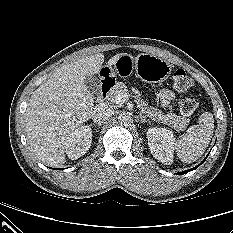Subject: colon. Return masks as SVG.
<instances>
[{
  "label": "colon",
  "instance_id": "colon-1",
  "mask_svg": "<svg viewBox=\"0 0 233 233\" xmlns=\"http://www.w3.org/2000/svg\"><path fill=\"white\" fill-rule=\"evenodd\" d=\"M173 81L176 90L181 93L188 91L193 85L192 78L182 69H178L174 72ZM197 108L198 102L196 99L185 95L180 97L179 110L182 115L192 116L196 112Z\"/></svg>",
  "mask_w": 233,
  "mask_h": 233
}]
</instances>
